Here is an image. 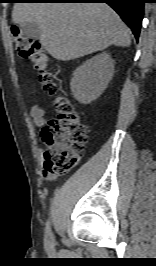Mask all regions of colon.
<instances>
[{"instance_id": "colon-1", "label": "colon", "mask_w": 156, "mask_h": 266, "mask_svg": "<svg viewBox=\"0 0 156 266\" xmlns=\"http://www.w3.org/2000/svg\"><path fill=\"white\" fill-rule=\"evenodd\" d=\"M11 36L21 58L33 63L44 90L49 95L56 96L57 86L52 73L47 69L48 57L41 44L25 37L17 27L12 29ZM54 107L56 117L42 131L46 145L44 166L47 173L61 175L70 171L82 159L88 141V127L68 99L56 96Z\"/></svg>"}]
</instances>
